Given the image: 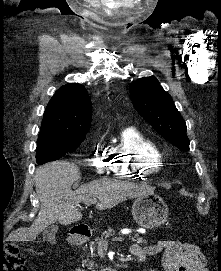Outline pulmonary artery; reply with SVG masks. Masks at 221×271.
<instances>
[{
	"label": "pulmonary artery",
	"instance_id": "obj_1",
	"mask_svg": "<svg viewBox=\"0 0 221 271\" xmlns=\"http://www.w3.org/2000/svg\"><path fill=\"white\" fill-rule=\"evenodd\" d=\"M123 138H139L140 134L137 133V128H126V133L122 134Z\"/></svg>",
	"mask_w": 221,
	"mask_h": 271
}]
</instances>
